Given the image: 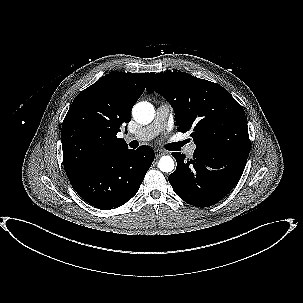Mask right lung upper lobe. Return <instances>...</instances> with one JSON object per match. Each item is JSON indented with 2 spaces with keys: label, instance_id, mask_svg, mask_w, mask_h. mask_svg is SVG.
Masks as SVG:
<instances>
[{
  "label": "right lung upper lobe",
  "instance_id": "obj_1",
  "mask_svg": "<svg viewBox=\"0 0 303 303\" xmlns=\"http://www.w3.org/2000/svg\"><path fill=\"white\" fill-rule=\"evenodd\" d=\"M154 73L112 72L80 92L62 124L64 168L69 180L127 150L117 138Z\"/></svg>",
  "mask_w": 303,
  "mask_h": 303
}]
</instances>
